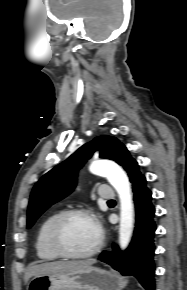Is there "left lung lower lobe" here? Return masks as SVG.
<instances>
[{
  "mask_svg": "<svg viewBox=\"0 0 187 290\" xmlns=\"http://www.w3.org/2000/svg\"><path fill=\"white\" fill-rule=\"evenodd\" d=\"M136 209V227L130 246L122 252L113 246L112 252H102L100 260L109 263L124 276H134L146 290L155 289L154 222L155 208L151 203V191L146 187V178L140 175L133 183Z\"/></svg>",
  "mask_w": 187,
  "mask_h": 290,
  "instance_id": "1",
  "label": "left lung lower lobe"
}]
</instances>
